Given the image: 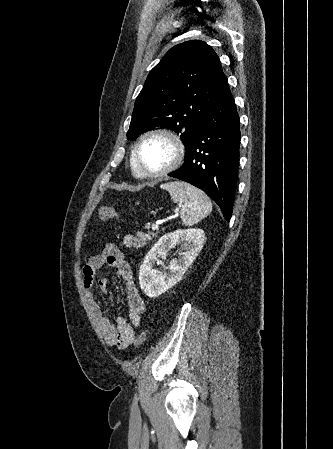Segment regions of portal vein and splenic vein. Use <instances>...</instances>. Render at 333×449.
<instances>
[{"label":"portal vein and splenic vein","instance_id":"18ae733b","mask_svg":"<svg viewBox=\"0 0 333 449\" xmlns=\"http://www.w3.org/2000/svg\"><path fill=\"white\" fill-rule=\"evenodd\" d=\"M158 228H159V224L158 223L152 225V230H156Z\"/></svg>","mask_w":333,"mask_h":449}]
</instances>
